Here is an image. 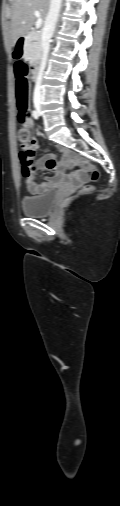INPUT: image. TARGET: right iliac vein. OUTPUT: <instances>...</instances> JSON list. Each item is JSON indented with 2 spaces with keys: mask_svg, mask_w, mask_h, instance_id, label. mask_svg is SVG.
I'll use <instances>...</instances> for the list:
<instances>
[{
  "mask_svg": "<svg viewBox=\"0 0 120 506\" xmlns=\"http://www.w3.org/2000/svg\"><path fill=\"white\" fill-rule=\"evenodd\" d=\"M36 107L39 109V104H36Z\"/></svg>",
  "mask_w": 120,
  "mask_h": 506,
  "instance_id": "63e3f726",
  "label": "right iliac vein"
}]
</instances>
